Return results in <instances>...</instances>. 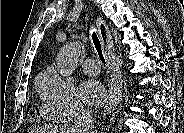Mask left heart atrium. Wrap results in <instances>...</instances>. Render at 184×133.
<instances>
[{"instance_id":"left-heart-atrium-1","label":"left heart atrium","mask_w":184,"mask_h":133,"mask_svg":"<svg viewBox=\"0 0 184 133\" xmlns=\"http://www.w3.org/2000/svg\"><path fill=\"white\" fill-rule=\"evenodd\" d=\"M81 99L92 107H98L105 102L106 93L101 83L88 79L82 82L79 88Z\"/></svg>"}]
</instances>
